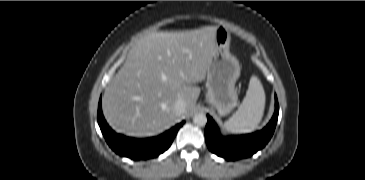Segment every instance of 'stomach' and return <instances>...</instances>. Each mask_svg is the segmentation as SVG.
Listing matches in <instances>:
<instances>
[{
  "label": "stomach",
  "instance_id": "0dacf381",
  "mask_svg": "<svg viewBox=\"0 0 365 180\" xmlns=\"http://www.w3.org/2000/svg\"><path fill=\"white\" fill-rule=\"evenodd\" d=\"M230 32L224 26L215 30V50L207 70L206 101L220 116L229 114L236 107L238 95L235 83L240 76V64L229 51Z\"/></svg>",
  "mask_w": 365,
  "mask_h": 180
}]
</instances>
